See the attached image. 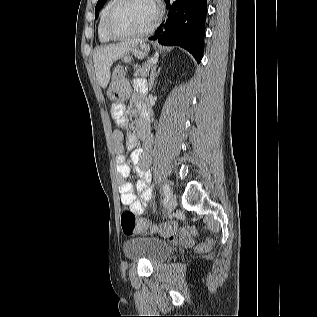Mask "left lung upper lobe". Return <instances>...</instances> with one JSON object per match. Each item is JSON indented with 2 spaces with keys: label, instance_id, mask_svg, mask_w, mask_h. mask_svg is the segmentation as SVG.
Wrapping results in <instances>:
<instances>
[{
  "label": "left lung upper lobe",
  "instance_id": "5c2ea615",
  "mask_svg": "<svg viewBox=\"0 0 317 317\" xmlns=\"http://www.w3.org/2000/svg\"><path fill=\"white\" fill-rule=\"evenodd\" d=\"M107 0H98L97 5L95 7V18L97 17L100 9L103 7V5L106 3Z\"/></svg>",
  "mask_w": 317,
  "mask_h": 317
}]
</instances>
